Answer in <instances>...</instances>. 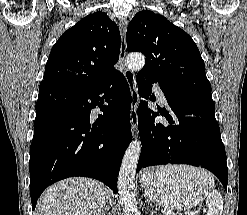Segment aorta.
<instances>
[{"mask_svg": "<svg viewBox=\"0 0 247 215\" xmlns=\"http://www.w3.org/2000/svg\"><path fill=\"white\" fill-rule=\"evenodd\" d=\"M131 70L139 71L145 65V57L140 53H131L127 57ZM141 141L133 140L128 146L118 175L119 199L125 215H139L136 203L135 174L141 152Z\"/></svg>", "mask_w": 247, "mask_h": 215, "instance_id": "762f6f07", "label": "aorta"}]
</instances>
